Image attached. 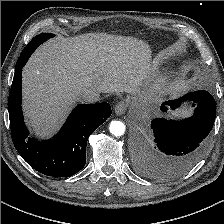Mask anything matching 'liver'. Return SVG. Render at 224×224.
Segmentation results:
<instances>
[{"label":"liver","instance_id":"liver-1","mask_svg":"<svg viewBox=\"0 0 224 224\" xmlns=\"http://www.w3.org/2000/svg\"><path fill=\"white\" fill-rule=\"evenodd\" d=\"M151 48L133 37L87 33L47 41L23 69V108L37 135H51L85 90L131 93L147 78Z\"/></svg>","mask_w":224,"mask_h":224}]
</instances>
